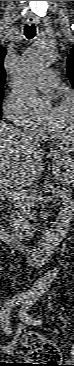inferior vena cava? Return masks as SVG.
<instances>
[{
  "label": "inferior vena cava",
  "mask_w": 74,
  "mask_h": 366,
  "mask_svg": "<svg viewBox=\"0 0 74 366\" xmlns=\"http://www.w3.org/2000/svg\"><path fill=\"white\" fill-rule=\"evenodd\" d=\"M23 136L26 137L27 139H31L33 141V144L34 145H37L39 146V138L38 136L34 133V132H31V131H24L23 132Z\"/></svg>",
  "instance_id": "inferior-vena-cava-1"
}]
</instances>
